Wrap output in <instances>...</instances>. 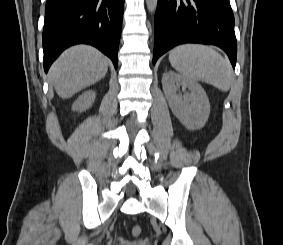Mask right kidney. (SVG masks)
<instances>
[{
    "label": "right kidney",
    "instance_id": "1",
    "mask_svg": "<svg viewBox=\"0 0 283 245\" xmlns=\"http://www.w3.org/2000/svg\"><path fill=\"white\" fill-rule=\"evenodd\" d=\"M95 92L93 91H86L82 93L77 100L72 105V110L76 111H85L89 107L92 106L94 100H95Z\"/></svg>",
    "mask_w": 283,
    "mask_h": 245
}]
</instances>
